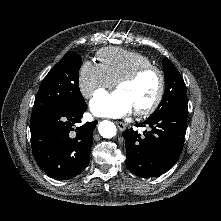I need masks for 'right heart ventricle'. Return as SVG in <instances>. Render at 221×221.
Returning <instances> with one entry per match:
<instances>
[{
  "instance_id": "right-heart-ventricle-1",
  "label": "right heart ventricle",
  "mask_w": 221,
  "mask_h": 221,
  "mask_svg": "<svg viewBox=\"0 0 221 221\" xmlns=\"http://www.w3.org/2000/svg\"><path fill=\"white\" fill-rule=\"evenodd\" d=\"M96 59L114 82L139 66L152 64L151 59L145 54L118 47L101 49Z\"/></svg>"
}]
</instances>
